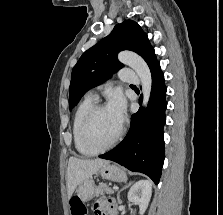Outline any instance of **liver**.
Here are the masks:
<instances>
[{
	"instance_id": "1",
	"label": "liver",
	"mask_w": 223,
	"mask_h": 215,
	"mask_svg": "<svg viewBox=\"0 0 223 215\" xmlns=\"http://www.w3.org/2000/svg\"><path fill=\"white\" fill-rule=\"evenodd\" d=\"M104 163H109V161L107 159H78V157H69L67 169L68 199H70L77 185L83 183L85 179L92 177L93 173H96Z\"/></svg>"
}]
</instances>
